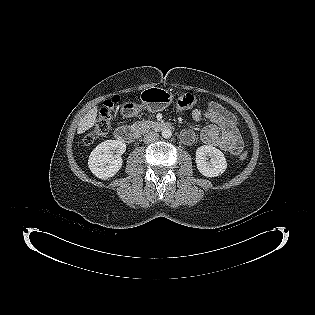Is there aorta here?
I'll return each mask as SVG.
<instances>
[{
  "label": "aorta",
  "instance_id": "762f6f07",
  "mask_svg": "<svg viewBox=\"0 0 315 315\" xmlns=\"http://www.w3.org/2000/svg\"><path fill=\"white\" fill-rule=\"evenodd\" d=\"M162 137L163 138H165V139H169V138H171V136H172V131L170 130V129H163L162 130Z\"/></svg>",
  "mask_w": 315,
  "mask_h": 315
}]
</instances>
